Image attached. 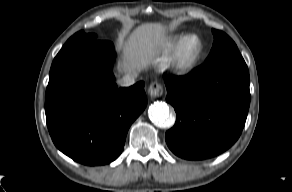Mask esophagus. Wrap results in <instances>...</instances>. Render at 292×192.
Masks as SVG:
<instances>
[{
  "label": "esophagus",
  "mask_w": 292,
  "mask_h": 192,
  "mask_svg": "<svg viewBox=\"0 0 292 192\" xmlns=\"http://www.w3.org/2000/svg\"><path fill=\"white\" fill-rule=\"evenodd\" d=\"M163 94V86L158 82H153L148 87V95L151 98H157L162 96Z\"/></svg>",
  "instance_id": "esophagus-1"
}]
</instances>
